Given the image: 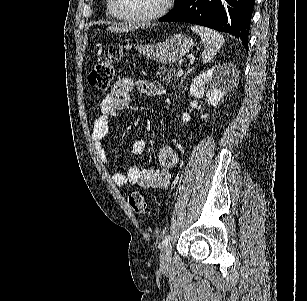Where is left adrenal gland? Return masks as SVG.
I'll return each mask as SVG.
<instances>
[{"label":"left adrenal gland","mask_w":307,"mask_h":301,"mask_svg":"<svg viewBox=\"0 0 307 301\" xmlns=\"http://www.w3.org/2000/svg\"><path fill=\"white\" fill-rule=\"evenodd\" d=\"M188 72H190V70H188ZM188 72H185V74H184L183 78H181V82H180L179 86H181V84H182V82H183L184 78H186V76H187Z\"/></svg>","instance_id":"1"}]
</instances>
